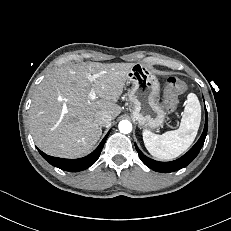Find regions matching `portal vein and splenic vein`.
<instances>
[{
	"mask_svg": "<svg viewBox=\"0 0 231 231\" xmlns=\"http://www.w3.org/2000/svg\"><path fill=\"white\" fill-rule=\"evenodd\" d=\"M92 79H94V77L92 78L91 76H89V80H92ZM88 97L91 100H95L96 99V94L94 92H90Z\"/></svg>",
	"mask_w": 231,
	"mask_h": 231,
	"instance_id": "portal-vein-and-splenic-vein-1",
	"label": "portal vein and splenic vein"
}]
</instances>
